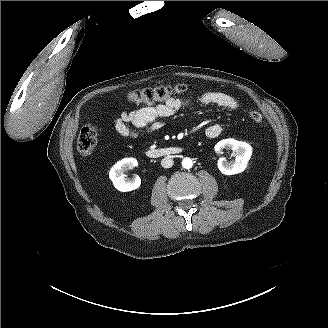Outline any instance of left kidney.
<instances>
[{
	"label": "left kidney",
	"mask_w": 328,
	"mask_h": 328,
	"mask_svg": "<svg viewBox=\"0 0 328 328\" xmlns=\"http://www.w3.org/2000/svg\"><path fill=\"white\" fill-rule=\"evenodd\" d=\"M214 149L217 153H221L223 149H230L237 153L235 161L231 163L227 162L224 158L218 160L217 166L219 171L228 176L244 172L252 156V146L250 144L232 138L219 141Z\"/></svg>",
	"instance_id": "left-kidney-1"
}]
</instances>
